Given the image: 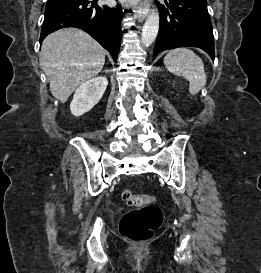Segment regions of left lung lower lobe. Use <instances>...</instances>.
Listing matches in <instances>:
<instances>
[{"instance_id":"obj_1","label":"left lung lower lobe","mask_w":261,"mask_h":273,"mask_svg":"<svg viewBox=\"0 0 261 273\" xmlns=\"http://www.w3.org/2000/svg\"><path fill=\"white\" fill-rule=\"evenodd\" d=\"M168 3L164 7L157 2L160 27L153 55L191 46L203 49L214 60V36L207 0H169Z\"/></svg>"}]
</instances>
